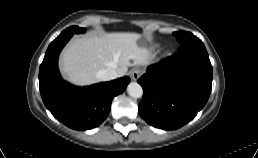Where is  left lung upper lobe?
Here are the masks:
<instances>
[{
    "instance_id": "5c2ea615",
    "label": "left lung upper lobe",
    "mask_w": 258,
    "mask_h": 158,
    "mask_svg": "<svg viewBox=\"0 0 258 158\" xmlns=\"http://www.w3.org/2000/svg\"><path fill=\"white\" fill-rule=\"evenodd\" d=\"M174 36H176L178 42L182 45L192 39H195V37L192 33L186 32V31H178L173 33Z\"/></svg>"
}]
</instances>
